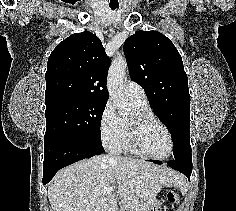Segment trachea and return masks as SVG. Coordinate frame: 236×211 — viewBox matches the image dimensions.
Wrapping results in <instances>:
<instances>
[{
  "instance_id": "obj_1",
  "label": "trachea",
  "mask_w": 236,
  "mask_h": 211,
  "mask_svg": "<svg viewBox=\"0 0 236 211\" xmlns=\"http://www.w3.org/2000/svg\"><path fill=\"white\" fill-rule=\"evenodd\" d=\"M116 8H117L116 6L115 7L110 6L111 10H115Z\"/></svg>"
}]
</instances>
